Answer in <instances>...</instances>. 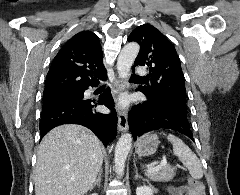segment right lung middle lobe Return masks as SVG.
Here are the masks:
<instances>
[{
  "label": "right lung middle lobe",
  "instance_id": "1",
  "mask_svg": "<svg viewBox=\"0 0 240 195\" xmlns=\"http://www.w3.org/2000/svg\"><path fill=\"white\" fill-rule=\"evenodd\" d=\"M80 95V91L59 92L54 94L43 95V103L55 99V98H73L77 99Z\"/></svg>",
  "mask_w": 240,
  "mask_h": 195
}]
</instances>
